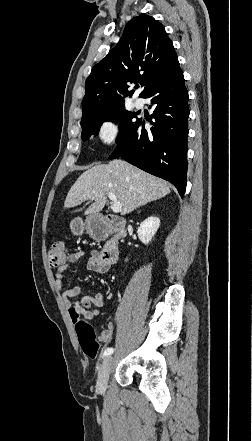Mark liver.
Listing matches in <instances>:
<instances>
[{
	"mask_svg": "<svg viewBox=\"0 0 252 441\" xmlns=\"http://www.w3.org/2000/svg\"><path fill=\"white\" fill-rule=\"evenodd\" d=\"M108 193L115 194L122 205L121 215H126L166 196L170 193V187L164 180L116 159L83 172L70 188L64 207L71 208L92 200L94 203L85 214H96L104 208Z\"/></svg>",
	"mask_w": 252,
	"mask_h": 441,
	"instance_id": "6515ba94",
	"label": "liver"
}]
</instances>
